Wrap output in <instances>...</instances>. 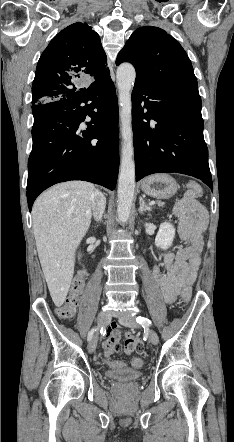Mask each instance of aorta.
I'll return each instance as SVG.
<instances>
[{"instance_id": "aorta-1", "label": "aorta", "mask_w": 234, "mask_h": 442, "mask_svg": "<svg viewBox=\"0 0 234 442\" xmlns=\"http://www.w3.org/2000/svg\"><path fill=\"white\" fill-rule=\"evenodd\" d=\"M136 72L130 63L121 64L116 73L119 90V105L122 131V157L118 178V219L126 223L129 219L135 190V161L132 131L131 91Z\"/></svg>"}]
</instances>
